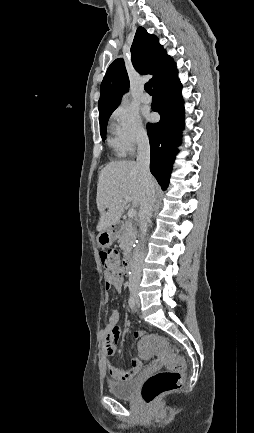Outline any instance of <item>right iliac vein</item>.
<instances>
[{"instance_id":"63e3f726","label":"right iliac vein","mask_w":254,"mask_h":433,"mask_svg":"<svg viewBox=\"0 0 254 433\" xmlns=\"http://www.w3.org/2000/svg\"><path fill=\"white\" fill-rule=\"evenodd\" d=\"M136 294H137V292H136V291H134V292H133V295H134V296H136Z\"/></svg>"}]
</instances>
